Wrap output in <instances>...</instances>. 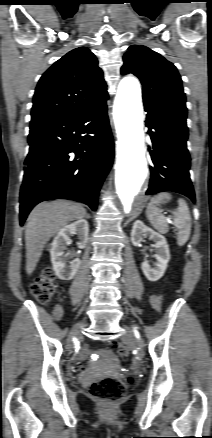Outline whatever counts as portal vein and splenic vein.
<instances>
[{"mask_svg": "<svg viewBox=\"0 0 212 438\" xmlns=\"http://www.w3.org/2000/svg\"><path fill=\"white\" fill-rule=\"evenodd\" d=\"M168 222H170V223H171V220H170V219H168Z\"/></svg>", "mask_w": 212, "mask_h": 438, "instance_id": "portal-vein-and-splenic-vein-1", "label": "portal vein and splenic vein"}]
</instances>
